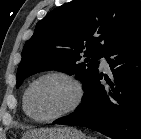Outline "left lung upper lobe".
Masks as SVG:
<instances>
[{"label": "left lung upper lobe", "instance_id": "left-lung-upper-lobe-1", "mask_svg": "<svg viewBox=\"0 0 141 139\" xmlns=\"http://www.w3.org/2000/svg\"><path fill=\"white\" fill-rule=\"evenodd\" d=\"M141 26L139 0H75L48 13L25 43L17 84L37 72L75 76L85 90L108 49ZM86 57V58H85Z\"/></svg>", "mask_w": 141, "mask_h": 139}]
</instances>
